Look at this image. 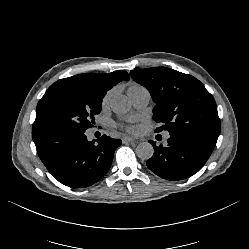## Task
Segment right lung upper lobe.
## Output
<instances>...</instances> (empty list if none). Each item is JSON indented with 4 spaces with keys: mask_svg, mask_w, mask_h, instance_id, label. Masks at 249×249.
<instances>
[{
    "mask_svg": "<svg viewBox=\"0 0 249 249\" xmlns=\"http://www.w3.org/2000/svg\"><path fill=\"white\" fill-rule=\"evenodd\" d=\"M72 80H80L91 85L95 90L102 94H106V92L115 86L117 83L123 80H129L128 73L123 70L114 71L108 74L102 73H88V74H79L70 78Z\"/></svg>",
    "mask_w": 249,
    "mask_h": 249,
    "instance_id": "1",
    "label": "right lung upper lobe"
}]
</instances>
